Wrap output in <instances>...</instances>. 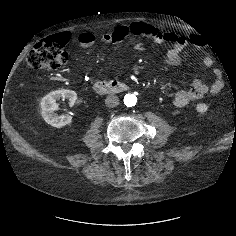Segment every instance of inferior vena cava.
<instances>
[{"mask_svg": "<svg viewBox=\"0 0 236 236\" xmlns=\"http://www.w3.org/2000/svg\"><path fill=\"white\" fill-rule=\"evenodd\" d=\"M107 107L113 108L119 105V98L116 95H109L105 99Z\"/></svg>", "mask_w": 236, "mask_h": 236, "instance_id": "obj_1", "label": "inferior vena cava"}]
</instances>
